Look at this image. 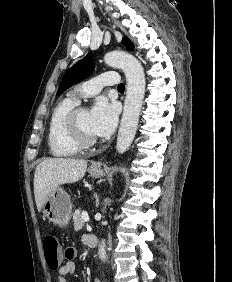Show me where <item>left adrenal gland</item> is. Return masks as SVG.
<instances>
[{"label":"left adrenal gland","instance_id":"a2214340","mask_svg":"<svg viewBox=\"0 0 232 282\" xmlns=\"http://www.w3.org/2000/svg\"><path fill=\"white\" fill-rule=\"evenodd\" d=\"M99 204V197L96 195V205Z\"/></svg>","mask_w":232,"mask_h":282}]
</instances>
